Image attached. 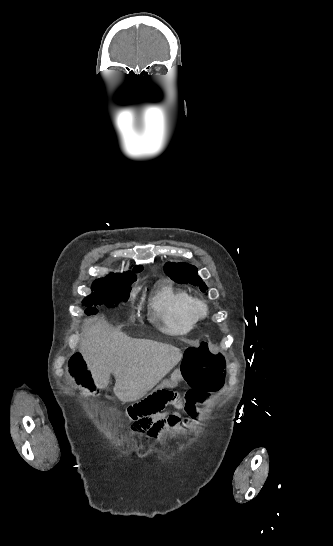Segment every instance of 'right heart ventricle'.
Here are the masks:
<instances>
[{
    "instance_id": "obj_1",
    "label": "right heart ventricle",
    "mask_w": 333,
    "mask_h": 546,
    "mask_svg": "<svg viewBox=\"0 0 333 546\" xmlns=\"http://www.w3.org/2000/svg\"><path fill=\"white\" fill-rule=\"evenodd\" d=\"M193 298L172 284L159 286L149 298L154 321L167 333L185 335L196 325L191 312Z\"/></svg>"
}]
</instances>
